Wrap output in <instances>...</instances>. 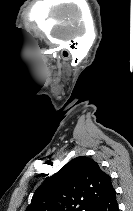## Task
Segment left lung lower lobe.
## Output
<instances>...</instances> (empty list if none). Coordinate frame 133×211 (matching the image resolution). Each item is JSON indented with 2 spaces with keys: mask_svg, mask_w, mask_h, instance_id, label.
<instances>
[{
  "mask_svg": "<svg viewBox=\"0 0 133 211\" xmlns=\"http://www.w3.org/2000/svg\"><path fill=\"white\" fill-rule=\"evenodd\" d=\"M92 211H119L115 189L113 188L101 201H99Z\"/></svg>",
  "mask_w": 133,
  "mask_h": 211,
  "instance_id": "left-lung-lower-lobe-1",
  "label": "left lung lower lobe"
}]
</instances>
